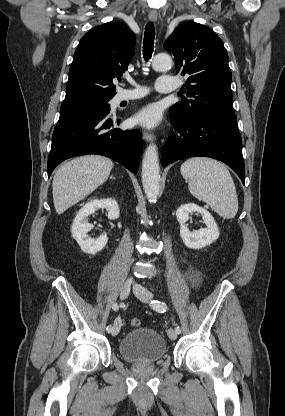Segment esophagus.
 <instances>
[{
  "instance_id": "1",
  "label": "esophagus",
  "mask_w": 285,
  "mask_h": 416,
  "mask_svg": "<svg viewBox=\"0 0 285 416\" xmlns=\"http://www.w3.org/2000/svg\"><path fill=\"white\" fill-rule=\"evenodd\" d=\"M157 15V12H150L148 16L149 21L154 23L157 20ZM143 139L145 141L152 142L155 139V136L153 133L143 132Z\"/></svg>"
}]
</instances>
